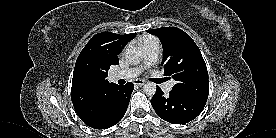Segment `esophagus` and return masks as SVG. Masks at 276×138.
<instances>
[{
	"label": "esophagus",
	"mask_w": 276,
	"mask_h": 138,
	"mask_svg": "<svg viewBox=\"0 0 276 138\" xmlns=\"http://www.w3.org/2000/svg\"><path fill=\"white\" fill-rule=\"evenodd\" d=\"M145 83H146V81L143 80V79H136V80L134 81V84H135V85H138V86H142V85H144Z\"/></svg>",
	"instance_id": "1"
}]
</instances>
